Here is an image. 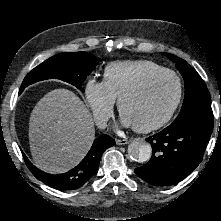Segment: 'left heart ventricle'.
<instances>
[{"label":"left heart ventricle","instance_id":"b2bd125f","mask_svg":"<svg viewBox=\"0 0 221 221\" xmlns=\"http://www.w3.org/2000/svg\"><path fill=\"white\" fill-rule=\"evenodd\" d=\"M177 95V83L170 75L153 79L142 91L127 98L122 115L133 126H145L161 120L170 110Z\"/></svg>","mask_w":221,"mask_h":221}]
</instances>
